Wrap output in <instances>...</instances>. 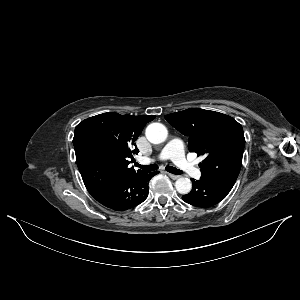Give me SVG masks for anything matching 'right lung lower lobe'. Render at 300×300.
Returning <instances> with one entry per match:
<instances>
[{
  "label": "right lung lower lobe",
  "mask_w": 300,
  "mask_h": 300,
  "mask_svg": "<svg viewBox=\"0 0 300 300\" xmlns=\"http://www.w3.org/2000/svg\"><path fill=\"white\" fill-rule=\"evenodd\" d=\"M158 172H137L113 182L89 188V193L103 206L125 211L142 203L148 196V183Z\"/></svg>",
  "instance_id": "obj_1"
}]
</instances>
